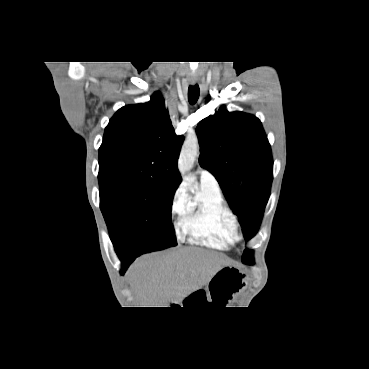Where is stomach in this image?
Wrapping results in <instances>:
<instances>
[{
    "label": "stomach",
    "mask_w": 369,
    "mask_h": 369,
    "mask_svg": "<svg viewBox=\"0 0 369 369\" xmlns=\"http://www.w3.org/2000/svg\"><path fill=\"white\" fill-rule=\"evenodd\" d=\"M246 284L245 274L236 266L225 265L218 270L206 285V295L227 305Z\"/></svg>",
    "instance_id": "1"
}]
</instances>
